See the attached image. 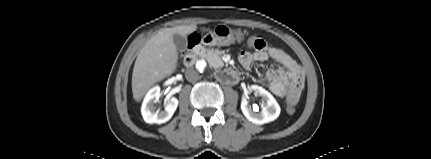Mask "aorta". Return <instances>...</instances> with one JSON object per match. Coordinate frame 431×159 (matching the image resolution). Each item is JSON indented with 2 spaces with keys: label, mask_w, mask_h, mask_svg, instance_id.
Wrapping results in <instances>:
<instances>
[{
  "label": "aorta",
  "mask_w": 431,
  "mask_h": 159,
  "mask_svg": "<svg viewBox=\"0 0 431 159\" xmlns=\"http://www.w3.org/2000/svg\"><path fill=\"white\" fill-rule=\"evenodd\" d=\"M196 67L199 72H204L207 69V64L205 62H198Z\"/></svg>",
  "instance_id": "obj_1"
}]
</instances>
